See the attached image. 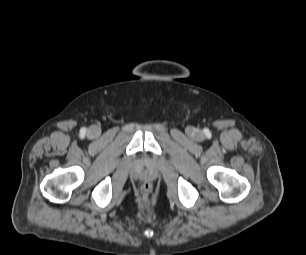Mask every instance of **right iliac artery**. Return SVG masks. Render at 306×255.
Masks as SVG:
<instances>
[{
	"label": "right iliac artery",
	"mask_w": 306,
	"mask_h": 255,
	"mask_svg": "<svg viewBox=\"0 0 306 255\" xmlns=\"http://www.w3.org/2000/svg\"><path fill=\"white\" fill-rule=\"evenodd\" d=\"M81 134L84 135L85 134V130H81Z\"/></svg>",
	"instance_id": "obj_1"
}]
</instances>
